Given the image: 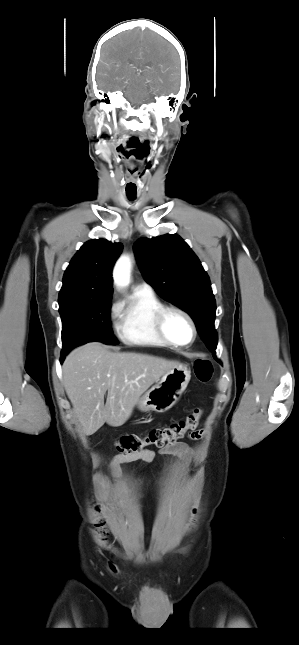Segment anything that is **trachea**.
<instances>
[{"label": "trachea", "instance_id": "3493384b", "mask_svg": "<svg viewBox=\"0 0 299 645\" xmlns=\"http://www.w3.org/2000/svg\"><path fill=\"white\" fill-rule=\"evenodd\" d=\"M129 199H130V200H134V199H135V197H134V196H129Z\"/></svg>", "mask_w": 299, "mask_h": 645}]
</instances>
